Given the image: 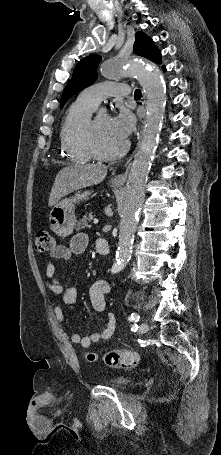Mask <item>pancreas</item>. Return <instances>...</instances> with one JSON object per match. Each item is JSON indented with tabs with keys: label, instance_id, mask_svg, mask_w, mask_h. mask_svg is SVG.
I'll return each mask as SVG.
<instances>
[{
	"label": "pancreas",
	"instance_id": "obj_1",
	"mask_svg": "<svg viewBox=\"0 0 221 455\" xmlns=\"http://www.w3.org/2000/svg\"><path fill=\"white\" fill-rule=\"evenodd\" d=\"M92 219V212L85 214L76 224V229L80 230L85 227H90V221Z\"/></svg>",
	"mask_w": 221,
	"mask_h": 455
}]
</instances>
